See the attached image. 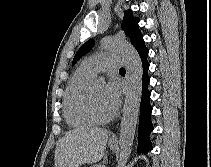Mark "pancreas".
<instances>
[{"instance_id":"cf45deb5","label":"pancreas","mask_w":211,"mask_h":167,"mask_svg":"<svg viewBox=\"0 0 211 167\" xmlns=\"http://www.w3.org/2000/svg\"><path fill=\"white\" fill-rule=\"evenodd\" d=\"M91 167H105V166L102 165V164H96V165H93V166H91Z\"/></svg>"}]
</instances>
